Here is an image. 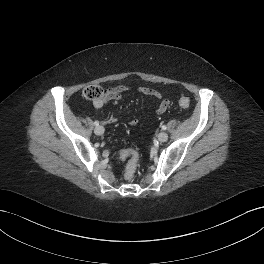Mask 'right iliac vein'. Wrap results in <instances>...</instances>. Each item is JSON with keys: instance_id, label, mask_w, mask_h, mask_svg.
Returning <instances> with one entry per match:
<instances>
[{"instance_id": "63e3f726", "label": "right iliac vein", "mask_w": 264, "mask_h": 264, "mask_svg": "<svg viewBox=\"0 0 264 264\" xmlns=\"http://www.w3.org/2000/svg\"><path fill=\"white\" fill-rule=\"evenodd\" d=\"M94 132L96 135H102L104 133V127L102 126H97L95 129H94Z\"/></svg>"}]
</instances>
